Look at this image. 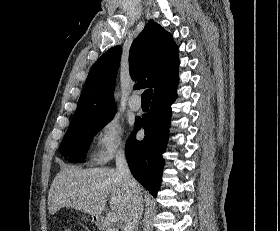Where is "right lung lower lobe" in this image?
I'll use <instances>...</instances> for the list:
<instances>
[{
    "label": "right lung lower lobe",
    "instance_id": "obj_1",
    "mask_svg": "<svg viewBox=\"0 0 280 231\" xmlns=\"http://www.w3.org/2000/svg\"><path fill=\"white\" fill-rule=\"evenodd\" d=\"M177 97L176 88L172 91L154 97L149 112L143 116L142 122L135 129L126 143V157L132 175L149 192L156 197L160 187L165 151L169 135L171 104ZM145 130L142 141L135 138L141 128Z\"/></svg>",
    "mask_w": 280,
    "mask_h": 231
}]
</instances>
